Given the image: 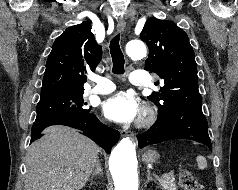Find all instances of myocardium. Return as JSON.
Instances as JSON below:
<instances>
[{
  "label": "myocardium",
  "instance_id": "1",
  "mask_svg": "<svg viewBox=\"0 0 238 190\" xmlns=\"http://www.w3.org/2000/svg\"><path fill=\"white\" fill-rule=\"evenodd\" d=\"M155 112L148 105L143 106L137 125L140 128H145L153 124L155 121Z\"/></svg>",
  "mask_w": 238,
  "mask_h": 190
}]
</instances>
